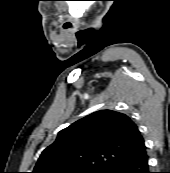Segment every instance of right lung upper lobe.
<instances>
[{
    "label": "right lung upper lobe",
    "mask_w": 170,
    "mask_h": 173,
    "mask_svg": "<svg viewBox=\"0 0 170 173\" xmlns=\"http://www.w3.org/2000/svg\"><path fill=\"white\" fill-rule=\"evenodd\" d=\"M143 146L137 125L127 115L100 110L61 130L42 152L32 173L105 170Z\"/></svg>",
    "instance_id": "cb5924a9"
}]
</instances>
